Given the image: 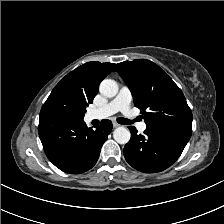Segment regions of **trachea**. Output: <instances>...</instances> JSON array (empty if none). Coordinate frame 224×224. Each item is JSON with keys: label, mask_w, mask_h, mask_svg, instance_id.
<instances>
[{"label": "trachea", "mask_w": 224, "mask_h": 224, "mask_svg": "<svg viewBox=\"0 0 224 224\" xmlns=\"http://www.w3.org/2000/svg\"><path fill=\"white\" fill-rule=\"evenodd\" d=\"M117 122L119 124H123V125H129V124H132L133 123V121L128 120L126 118H122V117L117 118Z\"/></svg>", "instance_id": "trachea-1"}]
</instances>
